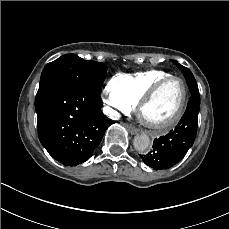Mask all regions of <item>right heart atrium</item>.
Segmentation results:
<instances>
[{
  "label": "right heart atrium",
  "instance_id": "1",
  "mask_svg": "<svg viewBox=\"0 0 229 229\" xmlns=\"http://www.w3.org/2000/svg\"><path fill=\"white\" fill-rule=\"evenodd\" d=\"M102 101L107 108L125 114L134 111L137 105L134 100L119 93L113 82L108 83L103 89Z\"/></svg>",
  "mask_w": 229,
  "mask_h": 229
}]
</instances>
